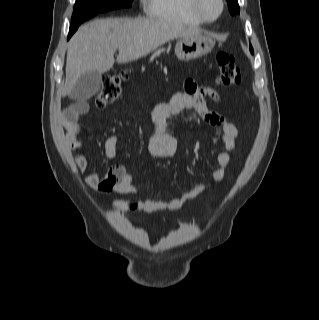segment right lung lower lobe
I'll return each instance as SVG.
<instances>
[{"mask_svg":"<svg viewBox=\"0 0 319 320\" xmlns=\"http://www.w3.org/2000/svg\"><path fill=\"white\" fill-rule=\"evenodd\" d=\"M74 32H75V31H69L68 39L71 37V35H72Z\"/></svg>","mask_w":319,"mask_h":320,"instance_id":"98d812e1","label":"right lung lower lobe"}]
</instances>
